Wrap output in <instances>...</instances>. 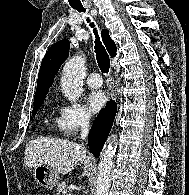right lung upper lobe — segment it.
<instances>
[{
  "label": "right lung upper lobe",
  "mask_w": 189,
  "mask_h": 195,
  "mask_svg": "<svg viewBox=\"0 0 189 195\" xmlns=\"http://www.w3.org/2000/svg\"><path fill=\"white\" fill-rule=\"evenodd\" d=\"M102 40L111 57H114L116 55V44L110 38L109 32L106 29L102 30ZM69 48V41L63 39L52 45L46 52L38 74L34 102L43 100L47 95L49 87L54 82L56 73L69 55Z\"/></svg>",
  "instance_id": "1"
}]
</instances>
